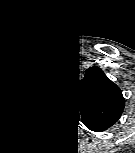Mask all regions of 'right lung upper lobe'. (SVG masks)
Returning <instances> with one entry per match:
<instances>
[{
	"label": "right lung upper lobe",
	"mask_w": 135,
	"mask_h": 153,
	"mask_svg": "<svg viewBox=\"0 0 135 153\" xmlns=\"http://www.w3.org/2000/svg\"><path fill=\"white\" fill-rule=\"evenodd\" d=\"M51 82L46 76H38L31 84L30 94L37 102H42L50 92Z\"/></svg>",
	"instance_id": "obj_1"
}]
</instances>
